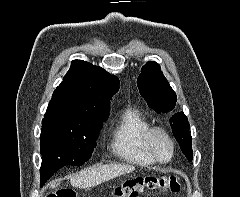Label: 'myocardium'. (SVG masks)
<instances>
[{"mask_svg":"<svg viewBox=\"0 0 240 197\" xmlns=\"http://www.w3.org/2000/svg\"><path fill=\"white\" fill-rule=\"evenodd\" d=\"M161 134L163 135L170 143L171 146V153L170 156L167 159H161L153 148V139L156 135ZM144 147L148 154V156L158 164H168L171 162L175 155V141L171 134L162 127H151L144 136Z\"/></svg>","mask_w":240,"mask_h":197,"instance_id":"obj_1","label":"myocardium"}]
</instances>
